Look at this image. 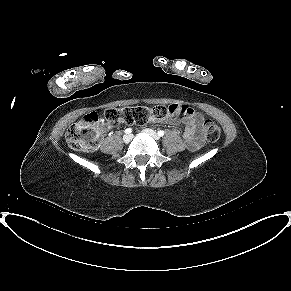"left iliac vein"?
<instances>
[{
	"label": "left iliac vein",
	"instance_id": "1",
	"mask_svg": "<svg viewBox=\"0 0 291 291\" xmlns=\"http://www.w3.org/2000/svg\"><path fill=\"white\" fill-rule=\"evenodd\" d=\"M143 133L150 135L155 140H159V136L151 129H144Z\"/></svg>",
	"mask_w": 291,
	"mask_h": 291
}]
</instances>
